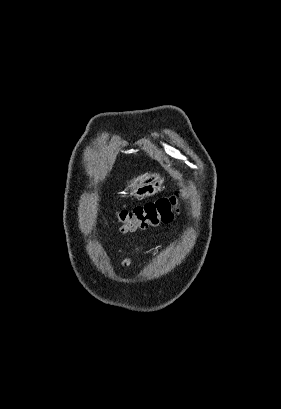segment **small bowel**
Masks as SVG:
<instances>
[{
  "mask_svg": "<svg viewBox=\"0 0 281 409\" xmlns=\"http://www.w3.org/2000/svg\"><path fill=\"white\" fill-rule=\"evenodd\" d=\"M123 263H124L125 266L131 265V261L129 259H124Z\"/></svg>",
  "mask_w": 281,
  "mask_h": 409,
  "instance_id": "small-bowel-1",
  "label": "small bowel"
}]
</instances>
